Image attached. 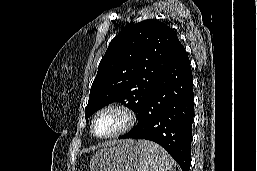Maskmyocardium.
<instances>
[{"mask_svg": "<svg viewBox=\"0 0 257 171\" xmlns=\"http://www.w3.org/2000/svg\"><path fill=\"white\" fill-rule=\"evenodd\" d=\"M107 111L120 112L124 116V124L113 133H110L107 135H97L94 131L95 121L101 114H103L104 112H107ZM136 122H137V114L130 106H128L124 103L114 102V103H109V104L101 107L94 113V115L91 119V123H90V130H91V133L93 134V136H95L96 138L111 139V138H116L118 136H121V135L125 134L126 132H128L129 130H131L134 127V125L136 124Z\"/></svg>", "mask_w": 257, "mask_h": 171, "instance_id": "obj_1", "label": "myocardium"}]
</instances>
